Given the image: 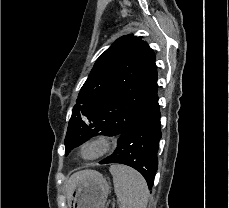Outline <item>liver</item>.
Segmentation results:
<instances>
[{"label": "liver", "instance_id": "liver-1", "mask_svg": "<svg viewBox=\"0 0 229 208\" xmlns=\"http://www.w3.org/2000/svg\"><path fill=\"white\" fill-rule=\"evenodd\" d=\"M97 176H101V174L95 172V170H81V172H75V174L70 176L66 184L67 196L70 198L77 184H82V182H86V180H93V178H97Z\"/></svg>", "mask_w": 229, "mask_h": 208}]
</instances>
